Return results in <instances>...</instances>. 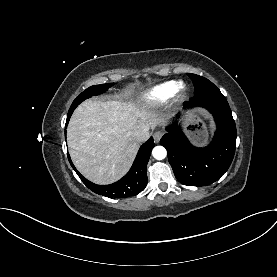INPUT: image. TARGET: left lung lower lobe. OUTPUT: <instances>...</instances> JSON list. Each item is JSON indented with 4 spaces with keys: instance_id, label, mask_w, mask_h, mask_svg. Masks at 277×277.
Here are the masks:
<instances>
[{
    "instance_id": "obj_1",
    "label": "left lung lower lobe",
    "mask_w": 277,
    "mask_h": 277,
    "mask_svg": "<svg viewBox=\"0 0 277 277\" xmlns=\"http://www.w3.org/2000/svg\"><path fill=\"white\" fill-rule=\"evenodd\" d=\"M201 106L213 116L217 131L205 148L194 147L174 123L160 140L176 179L188 186H206L217 181L229 168L236 148V126L229 104L220 91L195 95L184 108Z\"/></svg>"
}]
</instances>
